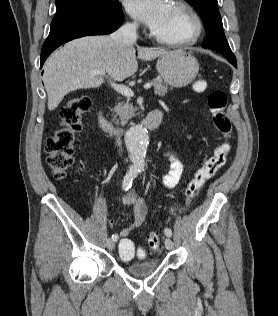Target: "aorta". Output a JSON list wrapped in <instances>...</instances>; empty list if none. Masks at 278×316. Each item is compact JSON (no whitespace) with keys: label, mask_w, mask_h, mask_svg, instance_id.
<instances>
[{"label":"aorta","mask_w":278,"mask_h":316,"mask_svg":"<svg viewBox=\"0 0 278 316\" xmlns=\"http://www.w3.org/2000/svg\"><path fill=\"white\" fill-rule=\"evenodd\" d=\"M148 143V132L142 125L131 127L125 134V144L129 152V157L132 166L137 170L144 169Z\"/></svg>","instance_id":"obj_1"}]
</instances>
